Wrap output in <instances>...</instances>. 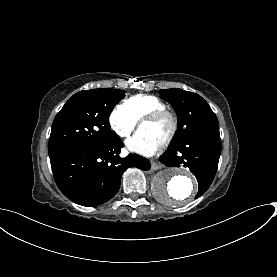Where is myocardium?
Returning <instances> with one entry per match:
<instances>
[{
	"label": "myocardium",
	"instance_id": "1",
	"mask_svg": "<svg viewBox=\"0 0 277 277\" xmlns=\"http://www.w3.org/2000/svg\"><path fill=\"white\" fill-rule=\"evenodd\" d=\"M162 119L167 120L170 124L167 135L162 140H160L162 144H167L174 138L178 130V120L171 111H168L166 109L151 110L147 112L146 115L140 120L139 126H141L143 123L158 121Z\"/></svg>",
	"mask_w": 277,
	"mask_h": 277
}]
</instances>
